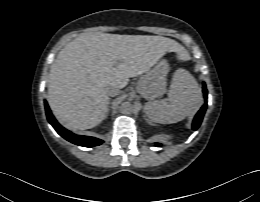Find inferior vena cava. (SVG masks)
Instances as JSON below:
<instances>
[{
  "label": "inferior vena cava",
  "mask_w": 260,
  "mask_h": 202,
  "mask_svg": "<svg viewBox=\"0 0 260 202\" xmlns=\"http://www.w3.org/2000/svg\"><path fill=\"white\" fill-rule=\"evenodd\" d=\"M118 94H120V88H118V87L110 88L109 91H108V95L111 96V97H114Z\"/></svg>",
  "instance_id": "602c4592"
}]
</instances>
